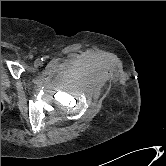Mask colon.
<instances>
[{"label": "colon", "instance_id": "1", "mask_svg": "<svg viewBox=\"0 0 166 166\" xmlns=\"http://www.w3.org/2000/svg\"><path fill=\"white\" fill-rule=\"evenodd\" d=\"M4 108H5L4 102H3V100H1V114H2L3 111H4Z\"/></svg>", "mask_w": 166, "mask_h": 166}]
</instances>
